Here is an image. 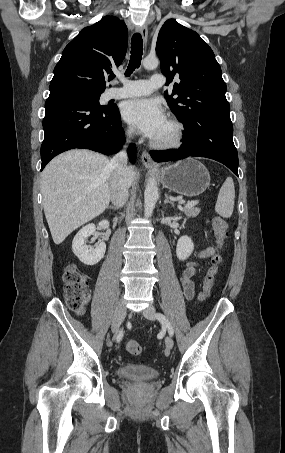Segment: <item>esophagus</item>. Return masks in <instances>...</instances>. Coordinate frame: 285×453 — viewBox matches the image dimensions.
Returning a JSON list of instances; mask_svg holds the SVG:
<instances>
[{"mask_svg": "<svg viewBox=\"0 0 285 453\" xmlns=\"http://www.w3.org/2000/svg\"><path fill=\"white\" fill-rule=\"evenodd\" d=\"M139 31L141 33V36H142L144 44H146L147 43V39H148V28H147V25H145V24L142 25L140 27ZM141 159H142L143 165L146 168H149V169H157L158 168L157 163L152 159V157L150 156V154L147 151H143L142 152Z\"/></svg>", "mask_w": 285, "mask_h": 453, "instance_id": "esophagus-1", "label": "esophagus"}]
</instances>
